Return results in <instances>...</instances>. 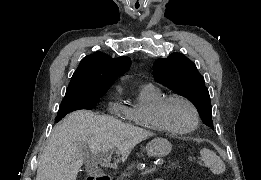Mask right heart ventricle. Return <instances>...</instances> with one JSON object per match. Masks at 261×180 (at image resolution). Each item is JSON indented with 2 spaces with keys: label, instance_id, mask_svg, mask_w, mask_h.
I'll return each instance as SVG.
<instances>
[{
  "label": "right heart ventricle",
  "instance_id": "e07e8e85",
  "mask_svg": "<svg viewBox=\"0 0 261 180\" xmlns=\"http://www.w3.org/2000/svg\"><path fill=\"white\" fill-rule=\"evenodd\" d=\"M166 97V94L159 88L147 84L139 88L133 98L132 105L122 106L120 112L124 122H132V127H144V131H152V136L144 138L166 137L174 140L182 139L184 136H161L155 133L148 116L150 112Z\"/></svg>",
  "mask_w": 261,
  "mask_h": 180
}]
</instances>
